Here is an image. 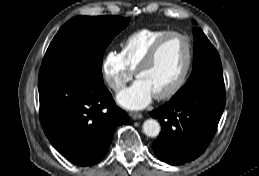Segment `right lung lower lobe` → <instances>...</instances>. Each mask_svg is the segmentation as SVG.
<instances>
[{
    "label": "right lung lower lobe",
    "instance_id": "obj_1",
    "mask_svg": "<svg viewBox=\"0 0 259 176\" xmlns=\"http://www.w3.org/2000/svg\"><path fill=\"white\" fill-rule=\"evenodd\" d=\"M40 121L54 148L80 166L98 163L116 127L128 121L103 82L63 73L38 81Z\"/></svg>",
    "mask_w": 259,
    "mask_h": 176
}]
</instances>
